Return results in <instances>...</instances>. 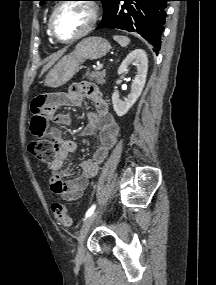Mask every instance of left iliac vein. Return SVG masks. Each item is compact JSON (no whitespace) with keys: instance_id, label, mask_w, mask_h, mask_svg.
I'll list each match as a JSON object with an SVG mask.
<instances>
[{"instance_id":"left-iliac-vein-1","label":"left iliac vein","mask_w":216,"mask_h":285,"mask_svg":"<svg viewBox=\"0 0 216 285\" xmlns=\"http://www.w3.org/2000/svg\"><path fill=\"white\" fill-rule=\"evenodd\" d=\"M98 212L92 213L89 217H87L80 229L79 236H78V250H77V258L81 259L84 256V239L93 224L94 220L97 217Z\"/></svg>"}]
</instances>
